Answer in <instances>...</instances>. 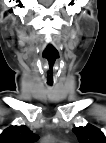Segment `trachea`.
I'll use <instances>...</instances> for the list:
<instances>
[{"instance_id": "obj_1", "label": "trachea", "mask_w": 106, "mask_h": 143, "mask_svg": "<svg viewBox=\"0 0 106 143\" xmlns=\"http://www.w3.org/2000/svg\"><path fill=\"white\" fill-rule=\"evenodd\" d=\"M53 83H48V85L52 86Z\"/></svg>"}]
</instances>
